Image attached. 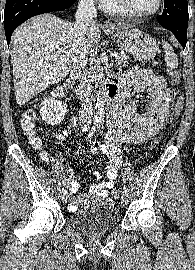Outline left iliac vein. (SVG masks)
Instances as JSON below:
<instances>
[{"label": "left iliac vein", "mask_w": 195, "mask_h": 270, "mask_svg": "<svg viewBox=\"0 0 195 270\" xmlns=\"http://www.w3.org/2000/svg\"><path fill=\"white\" fill-rule=\"evenodd\" d=\"M121 199H122L123 202L127 203L128 200H129V195H128V193L124 191V192L122 193Z\"/></svg>", "instance_id": "4c4485c4"}]
</instances>
